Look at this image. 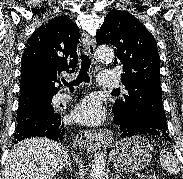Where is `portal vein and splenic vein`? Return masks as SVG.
<instances>
[{
    "label": "portal vein and splenic vein",
    "instance_id": "obj_1",
    "mask_svg": "<svg viewBox=\"0 0 183 179\" xmlns=\"http://www.w3.org/2000/svg\"><path fill=\"white\" fill-rule=\"evenodd\" d=\"M143 177H144V179H147L148 175H147V174H145Z\"/></svg>",
    "mask_w": 183,
    "mask_h": 179
}]
</instances>
